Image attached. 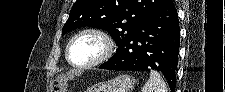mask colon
I'll return each instance as SVG.
<instances>
[{"mask_svg":"<svg viewBox=\"0 0 225 92\" xmlns=\"http://www.w3.org/2000/svg\"><path fill=\"white\" fill-rule=\"evenodd\" d=\"M67 75H61L55 82V91L56 92H65L66 83H67Z\"/></svg>","mask_w":225,"mask_h":92,"instance_id":"colon-1","label":"colon"}]
</instances>
